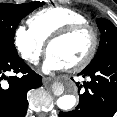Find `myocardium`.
<instances>
[{
    "mask_svg": "<svg viewBox=\"0 0 117 117\" xmlns=\"http://www.w3.org/2000/svg\"><path fill=\"white\" fill-rule=\"evenodd\" d=\"M84 31L89 32L91 35L90 49L86 54V56L81 61L68 67V69L71 71H81L85 69L93 61L99 45V37H98L97 30L95 29L94 26H92L87 22L77 23V24L67 26L61 29L60 31H58L57 33H55L53 36H51L47 42V48H46L47 53H49V49L54 43L63 41L77 33L84 32Z\"/></svg>",
    "mask_w": 117,
    "mask_h": 117,
    "instance_id": "f54148a6",
    "label": "myocardium"
}]
</instances>
